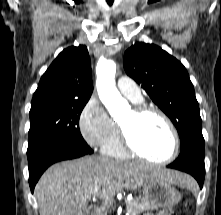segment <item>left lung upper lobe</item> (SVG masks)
I'll return each instance as SVG.
<instances>
[{
    "label": "left lung upper lobe",
    "instance_id": "5c2ea615",
    "mask_svg": "<svg viewBox=\"0 0 221 215\" xmlns=\"http://www.w3.org/2000/svg\"><path fill=\"white\" fill-rule=\"evenodd\" d=\"M124 69L177 128L181 150L205 145L194 87L183 64L154 44L136 43L124 54Z\"/></svg>",
    "mask_w": 221,
    "mask_h": 215
}]
</instances>
